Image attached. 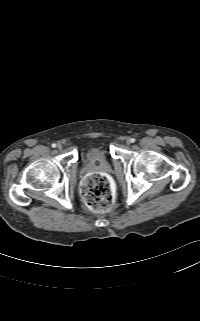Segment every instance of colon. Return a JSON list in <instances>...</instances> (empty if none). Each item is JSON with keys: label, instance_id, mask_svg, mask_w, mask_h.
I'll return each mask as SVG.
<instances>
[{"label": "colon", "instance_id": "1", "mask_svg": "<svg viewBox=\"0 0 200 321\" xmlns=\"http://www.w3.org/2000/svg\"><path fill=\"white\" fill-rule=\"evenodd\" d=\"M81 195L93 211H107L113 206L114 198L107 175L95 172L87 175L81 183Z\"/></svg>", "mask_w": 200, "mask_h": 321}]
</instances>
